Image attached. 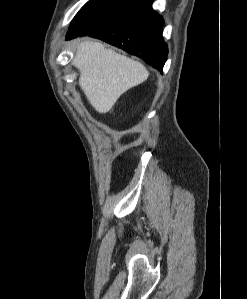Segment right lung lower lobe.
Masks as SVG:
<instances>
[{
	"label": "right lung lower lobe",
	"mask_w": 247,
	"mask_h": 299,
	"mask_svg": "<svg viewBox=\"0 0 247 299\" xmlns=\"http://www.w3.org/2000/svg\"><path fill=\"white\" fill-rule=\"evenodd\" d=\"M151 5L152 0H137L120 18L87 35L136 55L162 71L168 53L162 37L164 21Z\"/></svg>",
	"instance_id": "98d812e1"
}]
</instances>
